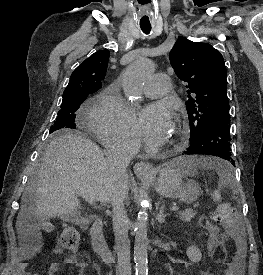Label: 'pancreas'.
<instances>
[{
    "label": "pancreas",
    "instance_id": "obj_1",
    "mask_svg": "<svg viewBox=\"0 0 263 275\" xmlns=\"http://www.w3.org/2000/svg\"><path fill=\"white\" fill-rule=\"evenodd\" d=\"M195 215H196V212H194L191 209H188L179 213V217L182 221H190L192 218L195 217Z\"/></svg>",
    "mask_w": 263,
    "mask_h": 275
}]
</instances>
